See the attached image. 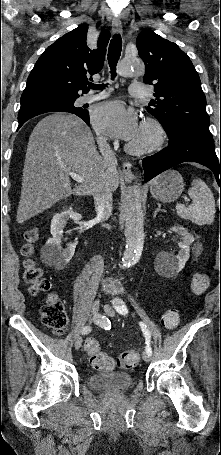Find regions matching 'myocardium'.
<instances>
[{
  "label": "myocardium",
  "instance_id": "obj_1",
  "mask_svg": "<svg viewBox=\"0 0 221 455\" xmlns=\"http://www.w3.org/2000/svg\"><path fill=\"white\" fill-rule=\"evenodd\" d=\"M140 131L148 138L143 141H130L126 148L132 154H145L160 149L165 143L166 134L162 124L154 118H146L141 122Z\"/></svg>",
  "mask_w": 221,
  "mask_h": 455
}]
</instances>
